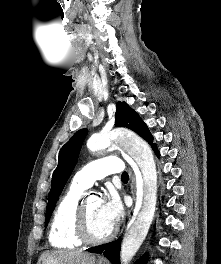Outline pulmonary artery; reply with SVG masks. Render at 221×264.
<instances>
[{
  "instance_id": "pulmonary-artery-1",
  "label": "pulmonary artery",
  "mask_w": 221,
  "mask_h": 264,
  "mask_svg": "<svg viewBox=\"0 0 221 264\" xmlns=\"http://www.w3.org/2000/svg\"><path fill=\"white\" fill-rule=\"evenodd\" d=\"M122 170L123 166L119 158L114 156L105 157L92 161L79 169L73 177V182L87 189L96 180L113 173H121Z\"/></svg>"
}]
</instances>
